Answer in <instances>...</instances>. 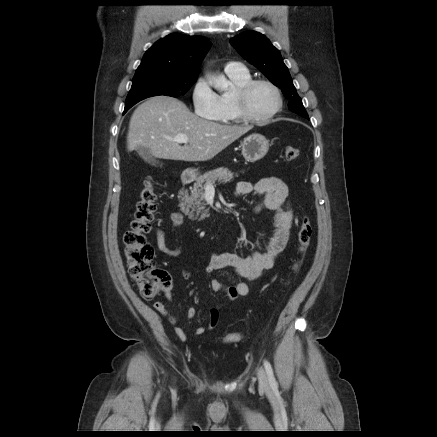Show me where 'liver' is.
<instances>
[{"mask_svg": "<svg viewBox=\"0 0 437 437\" xmlns=\"http://www.w3.org/2000/svg\"><path fill=\"white\" fill-rule=\"evenodd\" d=\"M251 126L223 125L202 119L172 97L147 99L133 112L127 134V149L149 148L154 157L201 162L214 158L227 146L251 130ZM186 135L188 144L173 139Z\"/></svg>", "mask_w": 437, "mask_h": 437, "instance_id": "liver-1", "label": "liver"}]
</instances>
